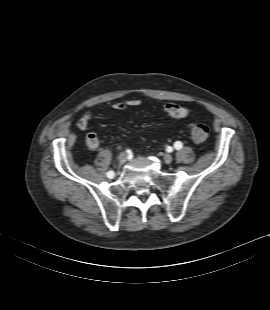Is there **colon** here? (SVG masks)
I'll list each match as a JSON object with an SVG mask.
<instances>
[{
  "label": "colon",
  "instance_id": "obj_1",
  "mask_svg": "<svg viewBox=\"0 0 270 310\" xmlns=\"http://www.w3.org/2000/svg\"><path fill=\"white\" fill-rule=\"evenodd\" d=\"M208 134V127L204 124H194L191 128L192 139L197 143L206 141Z\"/></svg>",
  "mask_w": 270,
  "mask_h": 310
}]
</instances>
